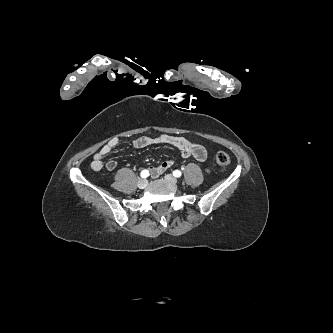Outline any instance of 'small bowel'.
<instances>
[{"mask_svg": "<svg viewBox=\"0 0 333 333\" xmlns=\"http://www.w3.org/2000/svg\"><path fill=\"white\" fill-rule=\"evenodd\" d=\"M119 140L117 138L111 139L107 144H105L94 156L90 164V167L94 171H100L103 166L104 158L118 145ZM135 148L141 149L152 145H169L177 148L181 152V156L184 158H194L197 161H204L206 159V149L204 146L198 143L191 142L190 140L172 135H161L159 137H139L132 142ZM173 164L171 160H165L159 163L157 166L151 167L150 171L153 177H157L163 174L167 169H169ZM117 166L116 161L108 160L105 163V167L108 171H113Z\"/></svg>", "mask_w": 333, "mask_h": 333, "instance_id": "1", "label": "small bowel"}]
</instances>
